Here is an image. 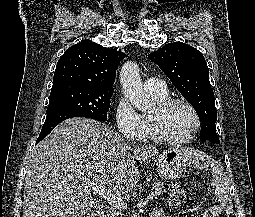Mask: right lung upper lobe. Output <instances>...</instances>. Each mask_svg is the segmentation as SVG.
<instances>
[{"label":"right lung upper lobe","instance_id":"obj_1","mask_svg":"<svg viewBox=\"0 0 255 217\" xmlns=\"http://www.w3.org/2000/svg\"><path fill=\"white\" fill-rule=\"evenodd\" d=\"M125 54L84 40L68 48L58 60L53 86L82 85L114 90L119 62Z\"/></svg>","mask_w":255,"mask_h":217}]
</instances>
